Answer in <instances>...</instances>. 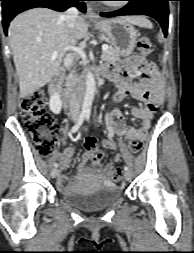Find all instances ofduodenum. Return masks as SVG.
<instances>
[{"instance_id": "duodenum-1", "label": "duodenum", "mask_w": 194, "mask_h": 253, "mask_svg": "<svg viewBox=\"0 0 194 253\" xmlns=\"http://www.w3.org/2000/svg\"><path fill=\"white\" fill-rule=\"evenodd\" d=\"M103 76V74H99L98 75V79H100ZM62 80H63V75L60 74L57 77H55L49 85V89H50V93L55 96V97H59L62 103L63 108L65 109V111H69L71 108V104L70 101L66 98H64L61 94V84H62Z\"/></svg>"}]
</instances>
